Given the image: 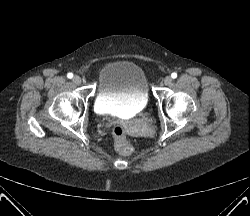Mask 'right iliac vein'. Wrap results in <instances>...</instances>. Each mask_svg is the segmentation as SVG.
I'll return each instance as SVG.
<instances>
[{
	"label": "right iliac vein",
	"mask_w": 250,
	"mask_h": 216,
	"mask_svg": "<svg viewBox=\"0 0 250 216\" xmlns=\"http://www.w3.org/2000/svg\"><path fill=\"white\" fill-rule=\"evenodd\" d=\"M73 82H74L75 84H77V85L81 84V82H82L81 77L78 76V75H75V76L73 77Z\"/></svg>",
	"instance_id": "obj_1"
}]
</instances>
